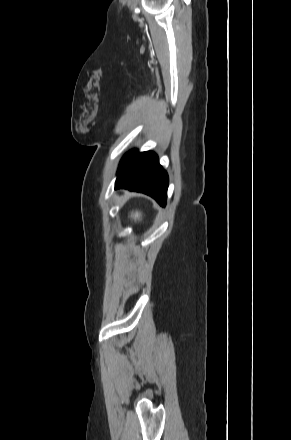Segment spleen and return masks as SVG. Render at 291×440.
<instances>
[{"mask_svg":"<svg viewBox=\"0 0 291 440\" xmlns=\"http://www.w3.org/2000/svg\"><path fill=\"white\" fill-rule=\"evenodd\" d=\"M141 217V213L139 211H135L131 213V218H133L134 220H139Z\"/></svg>","mask_w":291,"mask_h":440,"instance_id":"3e777b00","label":"spleen"}]
</instances>
